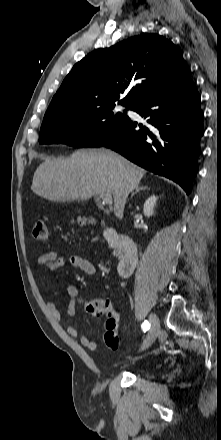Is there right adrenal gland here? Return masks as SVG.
I'll list each match as a JSON object with an SVG mask.
<instances>
[{
    "label": "right adrenal gland",
    "mask_w": 221,
    "mask_h": 440,
    "mask_svg": "<svg viewBox=\"0 0 221 440\" xmlns=\"http://www.w3.org/2000/svg\"><path fill=\"white\" fill-rule=\"evenodd\" d=\"M146 189H149L147 186H141V187H139V186H136L135 187V192H132V195H131V197H133L137 192H139L140 190H146Z\"/></svg>",
    "instance_id": "2a0ac1e0"
}]
</instances>
